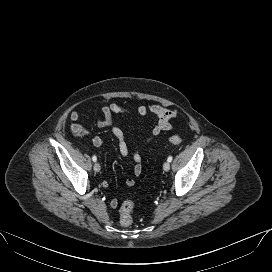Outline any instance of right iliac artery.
<instances>
[{"instance_id": "82829eb1", "label": "right iliac artery", "mask_w": 272, "mask_h": 272, "mask_svg": "<svg viewBox=\"0 0 272 272\" xmlns=\"http://www.w3.org/2000/svg\"><path fill=\"white\" fill-rule=\"evenodd\" d=\"M92 160H93L94 162H96V161H97V157H96V156H93V157H92Z\"/></svg>"}]
</instances>
